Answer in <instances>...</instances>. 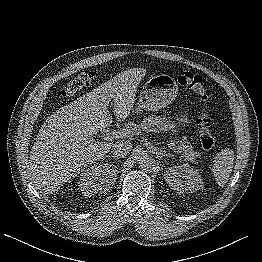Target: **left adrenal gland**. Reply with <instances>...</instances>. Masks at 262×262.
<instances>
[{"label": "left adrenal gland", "instance_id": "1", "mask_svg": "<svg viewBox=\"0 0 262 262\" xmlns=\"http://www.w3.org/2000/svg\"><path fill=\"white\" fill-rule=\"evenodd\" d=\"M159 155H160V157H165V156H167V157H172V154H170V153H166V151H159Z\"/></svg>", "mask_w": 262, "mask_h": 262}]
</instances>
